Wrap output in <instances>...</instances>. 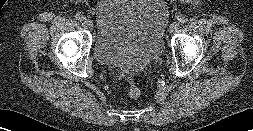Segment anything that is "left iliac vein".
<instances>
[{"label": "left iliac vein", "mask_w": 253, "mask_h": 131, "mask_svg": "<svg viewBox=\"0 0 253 131\" xmlns=\"http://www.w3.org/2000/svg\"><path fill=\"white\" fill-rule=\"evenodd\" d=\"M178 26H179V23H178V22H173V23L170 25V27H169V31H170L171 33L174 32V31H176L177 28H178Z\"/></svg>", "instance_id": "obj_1"}]
</instances>
